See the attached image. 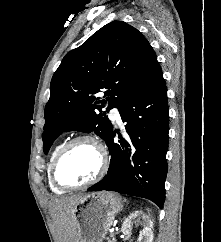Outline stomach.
<instances>
[{
    "label": "stomach",
    "mask_w": 221,
    "mask_h": 242,
    "mask_svg": "<svg viewBox=\"0 0 221 242\" xmlns=\"http://www.w3.org/2000/svg\"><path fill=\"white\" fill-rule=\"evenodd\" d=\"M122 207L120 197L111 192L102 191L84 196L73 207L77 226L76 242H103Z\"/></svg>",
    "instance_id": "1"
}]
</instances>
